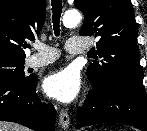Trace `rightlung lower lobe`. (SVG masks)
I'll return each instance as SVG.
<instances>
[{"instance_id":"obj_1","label":"right lung lower lobe","mask_w":147,"mask_h":131,"mask_svg":"<svg viewBox=\"0 0 147 131\" xmlns=\"http://www.w3.org/2000/svg\"><path fill=\"white\" fill-rule=\"evenodd\" d=\"M36 82V77L0 81V121L16 122L34 131H54V106L40 101Z\"/></svg>"}]
</instances>
